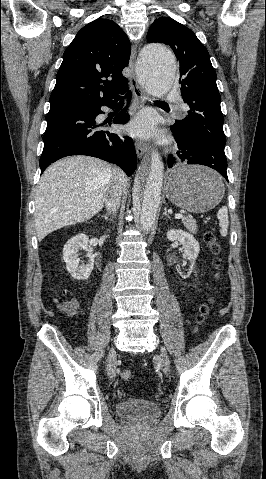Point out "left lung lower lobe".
Wrapping results in <instances>:
<instances>
[{"label": "left lung lower lobe", "instance_id": "left-lung-lower-lobe-1", "mask_svg": "<svg viewBox=\"0 0 266 479\" xmlns=\"http://www.w3.org/2000/svg\"><path fill=\"white\" fill-rule=\"evenodd\" d=\"M172 132L176 137L179 150L177 151L175 157L170 154L168 157V166L169 168L173 167V164L176 163V159L184 161L188 164H200L211 167L217 170L225 179L228 181L227 176V160H218L212 161L210 163H205L200 161V158L197 157L192 151L189 150L188 145L183 137V135L174 127H171Z\"/></svg>", "mask_w": 266, "mask_h": 479}]
</instances>
